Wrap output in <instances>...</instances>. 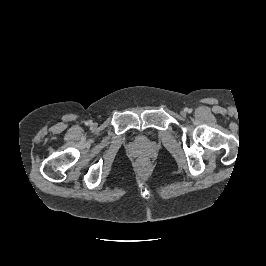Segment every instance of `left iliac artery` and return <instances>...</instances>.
I'll list each match as a JSON object with an SVG mask.
<instances>
[{"label": "left iliac artery", "instance_id": "obj_1", "mask_svg": "<svg viewBox=\"0 0 266 266\" xmlns=\"http://www.w3.org/2000/svg\"><path fill=\"white\" fill-rule=\"evenodd\" d=\"M186 111L190 113L191 112V109L187 108Z\"/></svg>", "mask_w": 266, "mask_h": 266}]
</instances>
